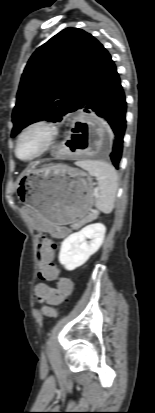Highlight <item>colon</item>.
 <instances>
[{
	"mask_svg": "<svg viewBox=\"0 0 155 413\" xmlns=\"http://www.w3.org/2000/svg\"><path fill=\"white\" fill-rule=\"evenodd\" d=\"M53 247L54 245L50 241H45L39 246L37 261L39 265V277L42 280L49 281L58 277V270L53 262ZM55 284L58 289L50 291L46 298L42 299L50 306L49 308H44V313L47 315H54L55 312L52 307L60 305L71 294L74 288V283L71 281V278H56Z\"/></svg>",
	"mask_w": 155,
	"mask_h": 413,
	"instance_id": "obj_1",
	"label": "colon"
}]
</instances>
